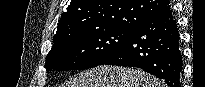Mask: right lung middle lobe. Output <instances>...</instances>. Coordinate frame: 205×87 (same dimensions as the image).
I'll use <instances>...</instances> for the list:
<instances>
[{"label": "right lung middle lobe", "instance_id": "right-lung-middle-lobe-1", "mask_svg": "<svg viewBox=\"0 0 205 87\" xmlns=\"http://www.w3.org/2000/svg\"><path fill=\"white\" fill-rule=\"evenodd\" d=\"M133 32L134 30L108 28L57 41L47 55L46 70H84L98 66L116 52Z\"/></svg>", "mask_w": 205, "mask_h": 87}]
</instances>
